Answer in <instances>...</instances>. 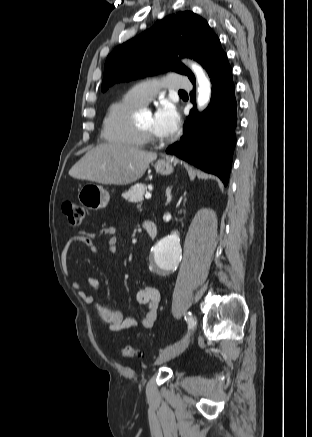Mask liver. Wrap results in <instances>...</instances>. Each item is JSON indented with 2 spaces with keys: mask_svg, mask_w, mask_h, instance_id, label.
Masks as SVG:
<instances>
[{
  "mask_svg": "<svg viewBox=\"0 0 312 437\" xmlns=\"http://www.w3.org/2000/svg\"><path fill=\"white\" fill-rule=\"evenodd\" d=\"M155 152L117 143H103L88 151L69 171V175L106 185H126L140 179Z\"/></svg>",
  "mask_w": 312,
  "mask_h": 437,
  "instance_id": "obj_1",
  "label": "liver"
}]
</instances>
